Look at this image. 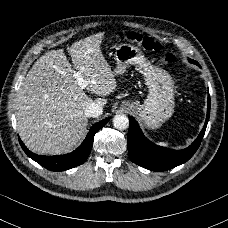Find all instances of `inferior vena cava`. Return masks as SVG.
Returning <instances> with one entry per match:
<instances>
[{
    "label": "inferior vena cava",
    "mask_w": 228,
    "mask_h": 228,
    "mask_svg": "<svg viewBox=\"0 0 228 228\" xmlns=\"http://www.w3.org/2000/svg\"><path fill=\"white\" fill-rule=\"evenodd\" d=\"M84 112L86 116L98 117L103 113V108L96 102H92L87 105Z\"/></svg>",
    "instance_id": "obj_1"
}]
</instances>
